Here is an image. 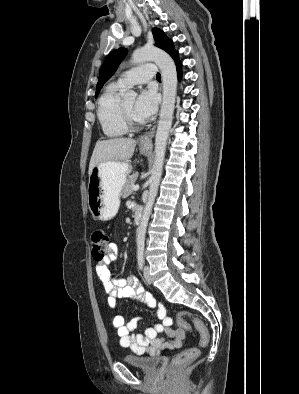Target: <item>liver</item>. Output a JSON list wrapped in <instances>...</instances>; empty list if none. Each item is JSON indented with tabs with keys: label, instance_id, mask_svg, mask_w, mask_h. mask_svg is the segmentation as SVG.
<instances>
[{
	"label": "liver",
	"instance_id": "6515ba94",
	"mask_svg": "<svg viewBox=\"0 0 299 394\" xmlns=\"http://www.w3.org/2000/svg\"><path fill=\"white\" fill-rule=\"evenodd\" d=\"M135 146L136 140L123 137L97 141L89 164V174L99 163L128 161L133 156Z\"/></svg>",
	"mask_w": 299,
	"mask_h": 394
}]
</instances>
